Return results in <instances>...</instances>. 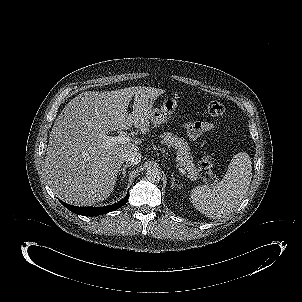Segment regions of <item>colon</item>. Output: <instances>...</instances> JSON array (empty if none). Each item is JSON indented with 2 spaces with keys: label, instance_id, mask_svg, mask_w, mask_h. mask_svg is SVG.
I'll list each match as a JSON object with an SVG mask.
<instances>
[{
  "label": "colon",
  "instance_id": "5ec220e1",
  "mask_svg": "<svg viewBox=\"0 0 302 302\" xmlns=\"http://www.w3.org/2000/svg\"><path fill=\"white\" fill-rule=\"evenodd\" d=\"M208 112L214 117L222 116L225 113V106L218 101H212L208 105ZM212 167V156L210 154L203 155L199 163V175L210 185H213L216 182V177L213 173Z\"/></svg>",
  "mask_w": 302,
  "mask_h": 302
}]
</instances>
